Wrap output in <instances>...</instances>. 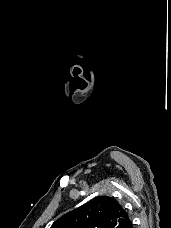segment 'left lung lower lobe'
Returning a JSON list of instances; mask_svg holds the SVG:
<instances>
[{"mask_svg":"<svg viewBox=\"0 0 171 228\" xmlns=\"http://www.w3.org/2000/svg\"><path fill=\"white\" fill-rule=\"evenodd\" d=\"M122 228H133V224L131 220L129 219L123 226Z\"/></svg>","mask_w":171,"mask_h":228,"instance_id":"obj_1","label":"left lung lower lobe"}]
</instances>
